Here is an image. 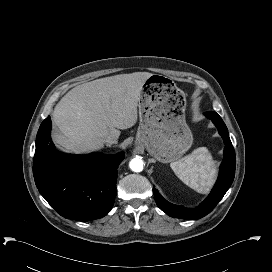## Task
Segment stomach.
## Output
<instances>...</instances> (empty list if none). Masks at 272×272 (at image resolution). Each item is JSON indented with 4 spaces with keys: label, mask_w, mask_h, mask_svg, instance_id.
<instances>
[{
    "label": "stomach",
    "mask_w": 272,
    "mask_h": 272,
    "mask_svg": "<svg viewBox=\"0 0 272 272\" xmlns=\"http://www.w3.org/2000/svg\"><path fill=\"white\" fill-rule=\"evenodd\" d=\"M138 108L136 143L162 163L180 159L193 143L184 92L172 79L152 74L143 84Z\"/></svg>",
    "instance_id": "obj_1"
}]
</instances>
